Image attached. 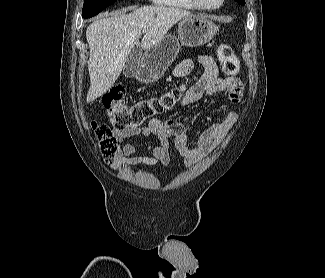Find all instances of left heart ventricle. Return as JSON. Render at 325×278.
Listing matches in <instances>:
<instances>
[{"label":"left heart ventricle","instance_id":"b2bd125f","mask_svg":"<svg viewBox=\"0 0 325 278\" xmlns=\"http://www.w3.org/2000/svg\"><path fill=\"white\" fill-rule=\"evenodd\" d=\"M203 4L207 6H216L221 0H201Z\"/></svg>","mask_w":325,"mask_h":278}]
</instances>
